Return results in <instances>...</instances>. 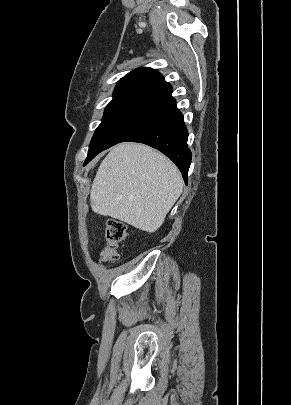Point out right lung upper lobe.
<instances>
[{
  "mask_svg": "<svg viewBox=\"0 0 291 405\" xmlns=\"http://www.w3.org/2000/svg\"><path fill=\"white\" fill-rule=\"evenodd\" d=\"M172 87L155 69L142 67L131 71L121 78L109 104L129 100H145L174 105Z\"/></svg>",
  "mask_w": 291,
  "mask_h": 405,
  "instance_id": "1",
  "label": "right lung upper lobe"
}]
</instances>
